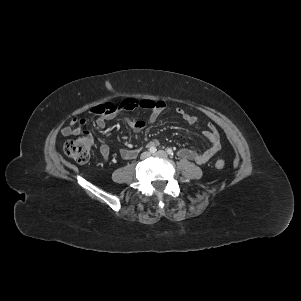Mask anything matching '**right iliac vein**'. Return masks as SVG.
Here are the masks:
<instances>
[{
	"instance_id": "63e3f726",
	"label": "right iliac vein",
	"mask_w": 301,
	"mask_h": 301,
	"mask_svg": "<svg viewBox=\"0 0 301 301\" xmlns=\"http://www.w3.org/2000/svg\"><path fill=\"white\" fill-rule=\"evenodd\" d=\"M150 156V153L149 152H143L142 154H141V159L142 160H144V159H146V158H148Z\"/></svg>"
}]
</instances>
